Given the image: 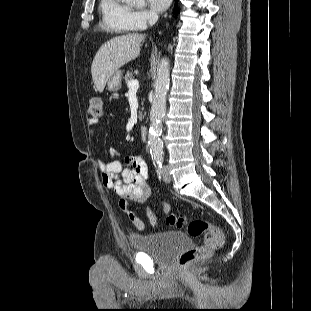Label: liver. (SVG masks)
<instances>
[{"label": "liver", "mask_w": 311, "mask_h": 311, "mask_svg": "<svg viewBox=\"0 0 311 311\" xmlns=\"http://www.w3.org/2000/svg\"><path fill=\"white\" fill-rule=\"evenodd\" d=\"M144 39L142 34H127L115 37L100 47L91 65L92 79L100 93L120 67L140 55V44Z\"/></svg>", "instance_id": "liver-1"}]
</instances>
